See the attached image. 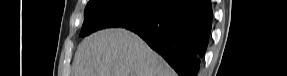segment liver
<instances>
[{
	"label": "liver",
	"mask_w": 287,
	"mask_h": 76,
	"mask_svg": "<svg viewBox=\"0 0 287 76\" xmlns=\"http://www.w3.org/2000/svg\"><path fill=\"white\" fill-rule=\"evenodd\" d=\"M73 76H176L138 35L122 28L98 31L78 46Z\"/></svg>",
	"instance_id": "6515ba94"
}]
</instances>
